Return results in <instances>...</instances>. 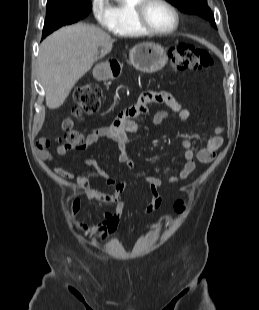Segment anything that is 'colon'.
Masks as SVG:
<instances>
[{
  "label": "colon",
  "mask_w": 259,
  "mask_h": 310,
  "mask_svg": "<svg viewBox=\"0 0 259 310\" xmlns=\"http://www.w3.org/2000/svg\"><path fill=\"white\" fill-rule=\"evenodd\" d=\"M171 67L175 71L200 70L213 64V58L208 51L190 43H180L170 51ZM102 92L94 83L84 84L78 87L73 95L74 107L72 116L93 114L98 111L101 104ZM65 132L66 145L78 147L84 138L81 133L73 129L71 118H66L61 124ZM174 209L177 213L185 210V202L180 199L175 202Z\"/></svg>",
  "instance_id": "colon-1"
}]
</instances>
